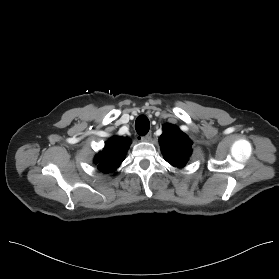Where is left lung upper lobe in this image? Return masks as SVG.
Returning a JSON list of instances; mask_svg holds the SVG:
<instances>
[{
  "label": "left lung upper lobe",
  "instance_id": "1",
  "mask_svg": "<svg viewBox=\"0 0 279 279\" xmlns=\"http://www.w3.org/2000/svg\"><path fill=\"white\" fill-rule=\"evenodd\" d=\"M161 151L172 166L184 167L191 156L192 141L177 126L166 124L159 138Z\"/></svg>",
  "mask_w": 279,
  "mask_h": 279
}]
</instances>
